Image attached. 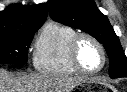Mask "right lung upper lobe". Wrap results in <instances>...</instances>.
Listing matches in <instances>:
<instances>
[{
  "label": "right lung upper lobe",
  "mask_w": 127,
  "mask_h": 92,
  "mask_svg": "<svg viewBox=\"0 0 127 92\" xmlns=\"http://www.w3.org/2000/svg\"><path fill=\"white\" fill-rule=\"evenodd\" d=\"M48 14L46 3L35 6H8L0 12V32H13L31 27L42 26Z\"/></svg>",
  "instance_id": "right-lung-upper-lobe-1"
}]
</instances>
